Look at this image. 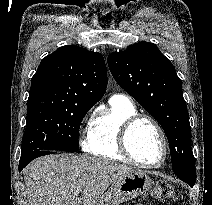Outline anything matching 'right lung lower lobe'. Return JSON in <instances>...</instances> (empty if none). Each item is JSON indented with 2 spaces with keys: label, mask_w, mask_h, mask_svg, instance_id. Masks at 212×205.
Here are the masks:
<instances>
[{
  "label": "right lung lower lobe",
  "mask_w": 212,
  "mask_h": 205,
  "mask_svg": "<svg viewBox=\"0 0 212 205\" xmlns=\"http://www.w3.org/2000/svg\"><path fill=\"white\" fill-rule=\"evenodd\" d=\"M55 152H67V151H58V150H42V151H37L34 152L28 156H25L23 158L20 159L19 162V171H21L27 164H29L33 159L43 156V155H47V154H51V153H55Z\"/></svg>",
  "instance_id": "right-lung-lower-lobe-1"
}]
</instances>
